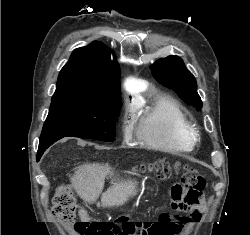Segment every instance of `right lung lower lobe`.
<instances>
[{
	"label": "right lung lower lobe",
	"mask_w": 250,
	"mask_h": 235,
	"mask_svg": "<svg viewBox=\"0 0 250 235\" xmlns=\"http://www.w3.org/2000/svg\"><path fill=\"white\" fill-rule=\"evenodd\" d=\"M61 138H63V137H51V138H47L45 140H40L39 148H38V153H37V161H39V159L42 156V154L44 153V151L50 145H52L54 142H56L57 140H59Z\"/></svg>",
	"instance_id": "obj_1"
}]
</instances>
